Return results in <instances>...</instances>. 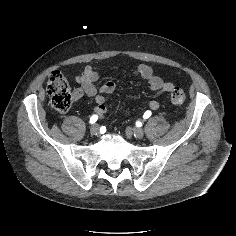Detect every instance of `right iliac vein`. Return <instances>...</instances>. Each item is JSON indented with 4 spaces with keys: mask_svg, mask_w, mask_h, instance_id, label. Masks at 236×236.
I'll use <instances>...</instances> for the list:
<instances>
[{
    "mask_svg": "<svg viewBox=\"0 0 236 236\" xmlns=\"http://www.w3.org/2000/svg\"><path fill=\"white\" fill-rule=\"evenodd\" d=\"M90 133L92 135H97L99 133L98 125H96V124L92 125L91 128H90Z\"/></svg>",
    "mask_w": 236,
    "mask_h": 236,
    "instance_id": "63e3f726",
    "label": "right iliac vein"
}]
</instances>
